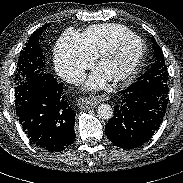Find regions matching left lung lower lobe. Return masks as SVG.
Segmentation results:
<instances>
[{
    "mask_svg": "<svg viewBox=\"0 0 183 183\" xmlns=\"http://www.w3.org/2000/svg\"><path fill=\"white\" fill-rule=\"evenodd\" d=\"M167 103L165 96L134 90L129 86L121 91L114 116L105 127L107 137L124 149L144 144L160 127Z\"/></svg>",
    "mask_w": 183,
    "mask_h": 183,
    "instance_id": "obj_1",
    "label": "left lung lower lobe"
}]
</instances>
